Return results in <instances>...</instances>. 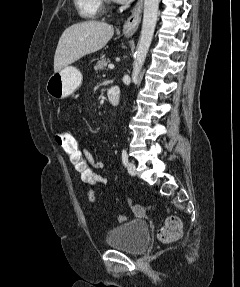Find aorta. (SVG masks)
Returning a JSON list of instances; mask_svg holds the SVG:
<instances>
[{
    "label": "aorta",
    "mask_w": 240,
    "mask_h": 287,
    "mask_svg": "<svg viewBox=\"0 0 240 287\" xmlns=\"http://www.w3.org/2000/svg\"><path fill=\"white\" fill-rule=\"evenodd\" d=\"M158 9L159 0H144L142 30L135 53V61L133 64V82L138 79V75L145 62L149 47L151 45V41L157 23Z\"/></svg>",
    "instance_id": "aorta-1"
}]
</instances>
